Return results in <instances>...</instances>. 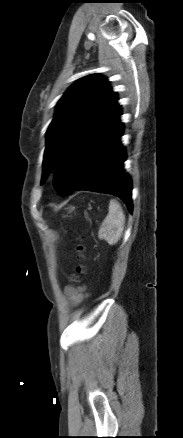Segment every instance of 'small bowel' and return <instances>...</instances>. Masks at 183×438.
<instances>
[{
  "label": "small bowel",
  "instance_id": "c3829d8e",
  "mask_svg": "<svg viewBox=\"0 0 183 438\" xmlns=\"http://www.w3.org/2000/svg\"><path fill=\"white\" fill-rule=\"evenodd\" d=\"M65 293L73 306L81 304L87 297L84 287L68 286Z\"/></svg>",
  "mask_w": 183,
  "mask_h": 438
}]
</instances>
